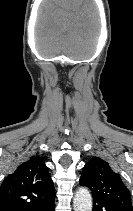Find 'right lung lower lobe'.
Wrapping results in <instances>:
<instances>
[{
    "label": "right lung lower lobe",
    "mask_w": 133,
    "mask_h": 211,
    "mask_svg": "<svg viewBox=\"0 0 133 211\" xmlns=\"http://www.w3.org/2000/svg\"><path fill=\"white\" fill-rule=\"evenodd\" d=\"M54 198L43 205L37 206L32 211H54Z\"/></svg>",
    "instance_id": "98d812e1"
}]
</instances>
